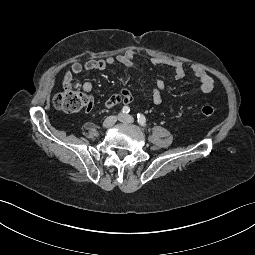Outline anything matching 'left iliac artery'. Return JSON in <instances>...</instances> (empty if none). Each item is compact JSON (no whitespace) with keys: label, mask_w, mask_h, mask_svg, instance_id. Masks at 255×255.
<instances>
[{"label":"left iliac artery","mask_w":255,"mask_h":255,"mask_svg":"<svg viewBox=\"0 0 255 255\" xmlns=\"http://www.w3.org/2000/svg\"><path fill=\"white\" fill-rule=\"evenodd\" d=\"M137 121H138V123L141 125V126H145L146 125V118H145V116L144 115H142V114H137Z\"/></svg>","instance_id":"1"}]
</instances>
